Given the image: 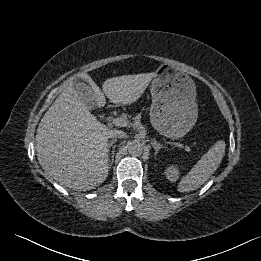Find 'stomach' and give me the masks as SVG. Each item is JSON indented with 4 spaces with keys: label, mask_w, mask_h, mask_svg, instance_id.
I'll return each mask as SVG.
<instances>
[{
    "label": "stomach",
    "mask_w": 261,
    "mask_h": 261,
    "mask_svg": "<svg viewBox=\"0 0 261 261\" xmlns=\"http://www.w3.org/2000/svg\"><path fill=\"white\" fill-rule=\"evenodd\" d=\"M151 83L150 122L164 137L179 139L197 120L196 86L192 78L163 64Z\"/></svg>",
    "instance_id": "1"
}]
</instances>
